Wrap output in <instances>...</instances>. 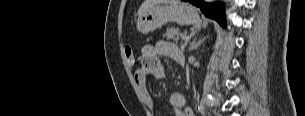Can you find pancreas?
<instances>
[{
    "label": "pancreas",
    "mask_w": 305,
    "mask_h": 116,
    "mask_svg": "<svg viewBox=\"0 0 305 116\" xmlns=\"http://www.w3.org/2000/svg\"><path fill=\"white\" fill-rule=\"evenodd\" d=\"M185 36L184 34L180 33L176 28H167L166 32L163 34V37L167 39H172L178 41L180 38ZM185 43H181L182 49L185 47Z\"/></svg>",
    "instance_id": "obj_1"
}]
</instances>
